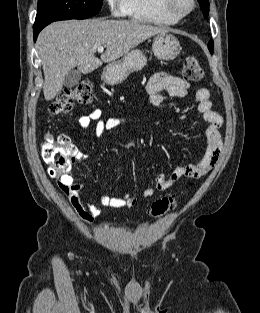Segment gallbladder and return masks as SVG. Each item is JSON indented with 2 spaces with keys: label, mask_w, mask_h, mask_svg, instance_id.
Segmentation results:
<instances>
[{
  "label": "gallbladder",
  "mask_w": 260,
  "mask_h": 313,
  "mask_svg": "<svg viewBox=\"0 0 260 313\" xmlns=\"http://www.w3.org/2000/svg\"><path fill=\"white\" fill-rule=\"evenodd\" d=\"M81 80V72L78 70H71L64 78L63 85L67 88L76 86Z\"/></svg>",
  "instance_id": "obj_1"
}]
</instances>
